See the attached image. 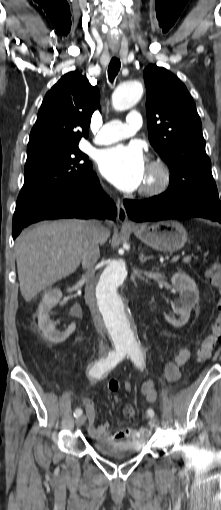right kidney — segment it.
Masks as SVG:
<instances>
[{"label":"right kidney","instance_id":"right-kidney-1","mask_svg":"<svg viewBox=\"0 0 221 510\" xmlns=\"http://www.w3.org/2000/svg\"><path fill=\"white\" fill-rule=\"evenodd\" d=\"M61 298L62 292L60 289H49L45 292L37 311L38 326L44 336L53 343H61L65 341L76 329V325L71 324L64 332H60L56 329L57 322L50 319V310L60 301Z\"/></svg>","mask_w":221,"mask_h":510}]
</instances>
